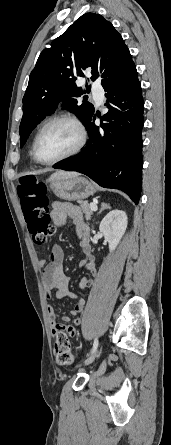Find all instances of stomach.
I'll return each instance as SVG.
<instances>
[{"mask_svg": "<svg viewBox=\"0 0 171 445\" xmlns=\"http://www.w3.org/2000/svg\"><path fill=\"white\" fill-rule=\"evenodd\" d=\"M50 188L62 200H83L96 192V187L89 180L81 176H51Z\"/></svg>", "mask_w": 171, "mask_h": 445, "instance_id": "stomach-1", "label": "stomach"}]
</instances>
